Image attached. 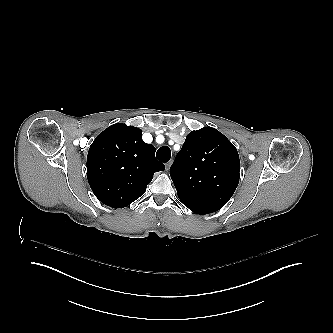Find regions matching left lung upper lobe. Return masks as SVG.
Returning <instances> with one entry per match:
<instances>
[{
	"mask_svg": "<svg viewBox=\"0 0 333 333\" xmlns=\"http://www.w3.org/2000/svg\"><path fill=\"white\" fill-rule=\"evenodd\" d=\"M181 202L205 214L222 208L240 178L237 149L218 130L204 127L190 132L170 168Z\"/></svg>",
	"mask_w": 333,
	"mask_h": 333,
	"instance_id": "left-lung-upper-lobe-1",
	"label": "left lung upper lobe"
}]
</instances>
